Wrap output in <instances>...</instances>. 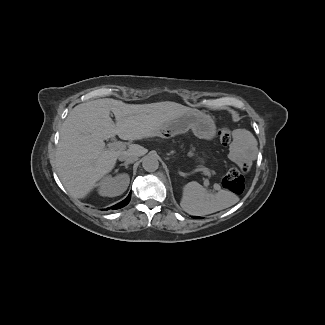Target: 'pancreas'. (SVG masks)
Masks as SVG:
<instances>
[{"label":"pancreas","mask_w":325,"mask_h":325,"mask_svg":"<svg viewBox=\"0 0 325 325\" xmlns=\"http://www.w3.org/2000/svg\"><path fill=\"white\" fill-rule=\"evenodd\" d=\"M173 146L179 147L180 150L186 152L187 156L192 157L195 154L194 149L190 148L189 144L185 141H181L179 138H175L172 141Z\"/></svg>","instance_id":"obj_1"}]
</instances>
